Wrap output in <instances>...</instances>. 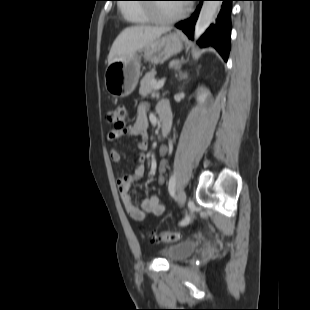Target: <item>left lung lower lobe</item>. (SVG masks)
I'll return each instance as SVG.
<instances>
[{
	"label": "left lung lower lobe",
	"mask_w": 310,
	"mask_h": 310,
	"mask_svg": "<svg viewBox=\"0 0 310 310\" xmlns=\"http://www.w3.org/2000/svg\"><path fill=\"white\" fill-rule=\"evenodd\" d=\"M200 2L205 0H198ZM222 1L221 11L217 17L216 23L211 25L205 34L200 38L198 44L201 47L212 46L214 47L225 61L228 59L230 51V35H231V22L230 12L232 9V1L235 0H219ZM201 6V5H200ZM200 6L195 13L184 21L176 24V27L181 29L189 38H193L194 25L198 18Z\"/></svg>",
	"instance_id": "left-lung-lower-lobe-1"
}]
</instances>
